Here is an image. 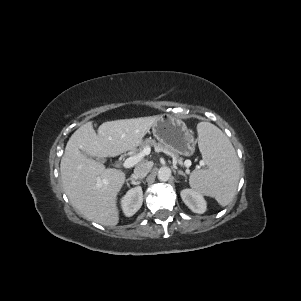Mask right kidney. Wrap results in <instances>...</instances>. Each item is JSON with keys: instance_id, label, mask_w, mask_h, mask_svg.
<instances>
[{"instance_id": "1", "label": "right kidney", "mask_w": 301, "mask_h": 301, "mask_svg": "<svg viewBox=\"0 0 301 301\" xmlns=\"http://www.w3.org/2000/svg\"><path fill=\"white\" fill-rule=\"evenodd\" d=\"M143 191L140 186L130 189L121 199L122 210L127 217L133 216L142 206Z\"/></svg>"}]
</instances>
